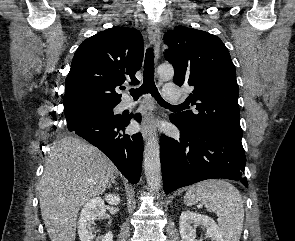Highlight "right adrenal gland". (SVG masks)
Here are the masks:
<instances>
[{
  "label": "right adrenal gland",
  "mask_w": 295,
  "mask_h": 241,
  "mask_svg": "<svg viewBox=\"0 0 295 241\" xmlns=\"http://www.w3.org/2000/svg\"><path fill=\"white\" fill-rule=\"evenodd\" d=\"M115 176H112L111 177V180L109 181V183H108V188H110L111 187V184H115V185H117V183H116V181H115Z\"/></svg>",
  "instance_id": "2a0ac1e0"
}]
</instances>
